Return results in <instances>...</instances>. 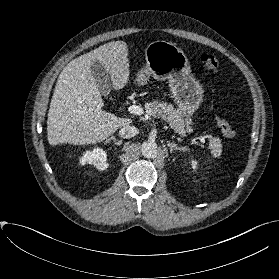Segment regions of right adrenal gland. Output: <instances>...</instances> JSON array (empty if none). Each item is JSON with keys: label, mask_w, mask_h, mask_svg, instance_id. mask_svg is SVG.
<instances>
[{"label": "right adrenal gland", "mask_w": 279, "mask_h": 279, "mask_svg": "<svg viewBox=\"0 0 279 279\" xmlns=\"http://www.w3.org/2000/svg\"><path fill=\"white\" fill-rule=\"evenodd\" d=\"M111 140L114 142L115 145L120 146V145L122 144V140H118V141H117L116 138H115L114 136H111L110 138H108V139L104 142V144L109 143Z\"/></svg>", "instance_id": "1"}]
</instances>
